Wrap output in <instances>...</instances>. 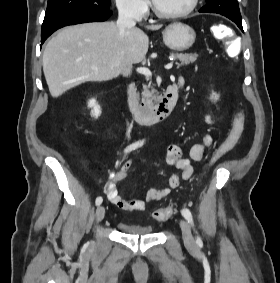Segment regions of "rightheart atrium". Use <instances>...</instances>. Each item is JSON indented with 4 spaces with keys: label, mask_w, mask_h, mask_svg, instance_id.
<instances>
[{
    "label": "right heart atrium",
    "mask_w": 280,
    "mask_h": 283,
    "mask_svg": "<svg viewBox=\"0 0 280 283\" xmlns=\"http://www.w3.org/2000/svg\"><path fill=\"white\" fill-rule=\"evenodd\" d=\"M120 13L136 20L143 19L149 12L148 0H116Z\"/></svg>",
    "instance_id": "d8ad5b80"
}]
</instances>
